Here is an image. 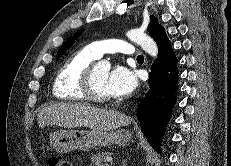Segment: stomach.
<instances>
[{
    "mask_svg": "<svg viewBox=\"0 0 231 166\" xmlns=\"http://www.w3.org/2000/svg\"><path fill=\"white\" fill-rule=\"evenodd\" d=\"M130 140L131 134L126 129L109 131L67 129L56 131L50 135V145L52 149L61 154L76 149L87 150L110 144L126 146Z\"/></svg>",
    "mask_w": 231,
    "mask_h": 166,
    "instance_id": "obj_1",
    "label": "stomach"
}]
</instances>
